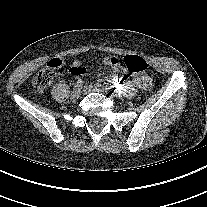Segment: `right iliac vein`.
Returning <instances> with one entry per match:
<instances>
[{"label": "right iliac vein", "instance_id": "right-iliac-vein-1", "mask_svg": "<svg viewBox=\"0 0 207 207\" xmlns=\"http://www.w3.org/2000/svg\"><path fill=\"white\" fill-rule=\"evenodd\" d=\"M80 96V89H74L71 93V98L72 99H78Z\"/></svg>", "mask_w": 207, "mask_h": 207}]
</instances>
